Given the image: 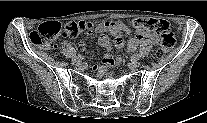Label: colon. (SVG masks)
Returning a JSON list of instances; mask_svg holds the SVG:
<instances>
[{
    "label": "colon",
    "instance_id": "obj_1",
    "mask_svg": "<svg viewBox=\"0 0 207 123\" xmlns=\"http://www.w3.org/2000/svg\"><path fill=\"white\" fill-rule=\"evenodd\" d=\"M130 24L136 29H148L161 35V46L156 52V55L160 58L175 46V36L170 31L169 24L165 20L136 18L131 20ZM93 28L94 24L90 21H72L67 23L64 28L58 22H48L40 25L36 30L30 33V41L36 46L54 49L57 47L55 39L62 30H64L67 37L76 38L82 33L91 32Z\"/></svg>",
    "mask_w": 207,
    "mask_h": 123
}]
</instances>
